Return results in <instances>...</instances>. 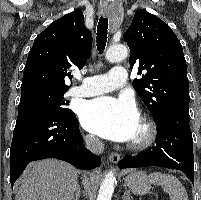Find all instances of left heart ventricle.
Returning <instances> with one entry per match:
<instances>
[{"label":"left heart ventricle","instance_id":"1","mask_svg":"<svg viewBox=\"0 0 201 200\" xmlns=\"http://www.w3.org/2000/svg\"><path fill=\"white\" fill-rule=\"evenodd\" d=\"M142 134V125H141V122L139 121L138 122V126H137V129H136V132H135V135L133 137V139L131 141H134L136 139H138Z\"/></svg>","mask_w":201,"mask_h":200}]
</instances>
